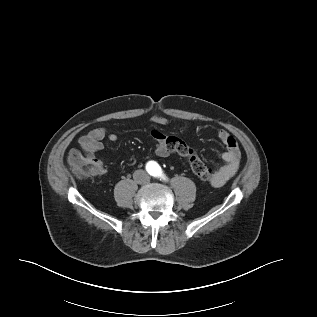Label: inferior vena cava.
Listing matches in <instances>:
<instances>
[{"label": "inferior vena cava", "mask_w": 317, "mask_h": 317, "mask_svg": "<svg viewBox=\"0 0 317 317\" xmlns=\"http://www.w3.org/2000/svg\"><path fill=\"white\" fill-rule=\"evenodd\" d=\"M133 178L138 184H146L150 181L149 175L144 170H136L133 174Z\"/></svg>", "instance_id": "1"}]
</instances>
